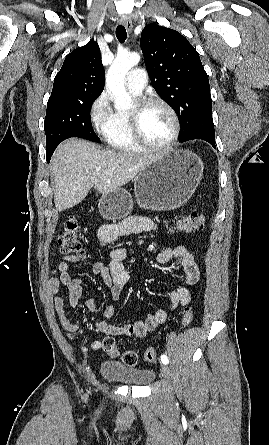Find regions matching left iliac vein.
Returning a JSON list of instances; mask_svg holds the SVG:
<instances>
[{
  "mask_svg": "<svg viewBox=\"0 0 269 445\" xmlns=\"http://www.w3.org/2000/svg\"><path fill=\"white\" fill-rule=\"evenodd\" d=\"M161 374L165 379H169L170 371L166 364L161 365Z\"/></svg>",
  "mask_w": 269,
  "mask_h": 445,
  "instance_id": "4c4485c4",
  "label": "left iliac vein"
}]
</instances>
